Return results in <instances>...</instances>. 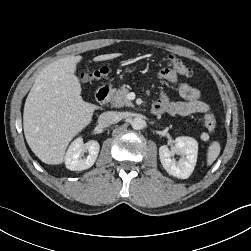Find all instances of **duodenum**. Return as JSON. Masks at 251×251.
Masks as SVG:
<instances>
[{
    "label": "duodenum",
    "instance_id": "duodenum-1",
    "mask_svg": "<svg viewBox=\"0 0 251 251\" xmlns=\"http://www.w3.org/2000/svg\"><path fill=\"white\" fill-rule=\"evenodd\" d=\"M111 90H112V86L111 85H105V86H102L101 88H99L96 92V101L100 104V105H104L108 99H109V96H110V93H111ZM151 112L153 114L156 113V109L154 106H152L151 108Z\"/></svg>",
    "mask_w": 251,
    "mask_h": 251
}]
</instances>
